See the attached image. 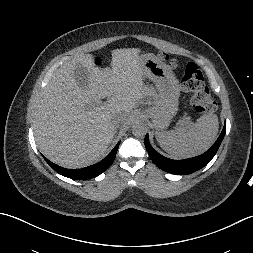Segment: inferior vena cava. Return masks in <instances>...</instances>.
<instances>
[{"mask_svg":"<svg viewBox=\"0 0 253 253\" xmlns=\"http://www.w3.org/2000/svg\"><path fill=\"white\" fill-rule=\"evenodd\" d=\"M126 116L122 115V114H116L113 116L112 118V124L116 127V128H122L124 127V122L126 121Z\"/></svg>","mask_w":253,"mask_h":253,"instance_id":"1","label":"inferior vena cava"}]
</instances>
